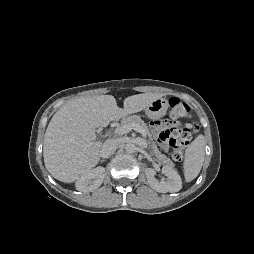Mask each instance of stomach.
<instances>
[{"label": "stomach", "mask_w": 254, "mask_h": 254, "mask_svg": "<svg viewBox=\"0 0 254 254\" xmlns=\"http://www.w3.org/2000/svg\"><path fill=\"white\" fill-rule=\"evenodd\" d=\"M167 109V100L165 98H158L145 108V113L150 119H160L165 116Z\"/></svg>", "instance_id": "obj_1"}]
</instances>
